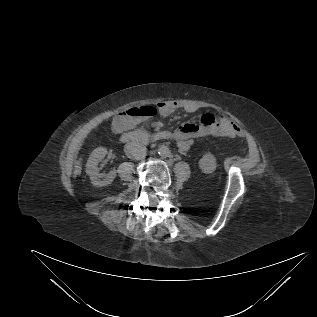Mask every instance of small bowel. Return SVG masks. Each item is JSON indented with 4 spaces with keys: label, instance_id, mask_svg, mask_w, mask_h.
<instances>
[{
    "label": "small bowel",
    "instance_id": "1",
    "mask_svg": "<svg viewBox=\"0 0 317 317\" xmlns=\"http://www.w3.org/2000/svg\"><path fill=\"white\" fill-rule=\"evenodd\" d=\"M159 112L162 116H169L175 111L182 110L187 113H194L198 110L195 103L191 101H160L157 103ZM137 123L132 118H124L120 121L122 128L133 127ZM240 131V128L233 123L226 116H220L217 120L214 115L204 113L201 116L200 123H184L180 125L174 133V138L181 151H188L190 149L192 139L206 136H235Z\"/></svg>",
    "mask_w": 317,
    "mask_h": 317
}]
</instances>
